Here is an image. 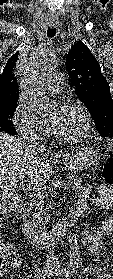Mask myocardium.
Listing matches in <instances>:
<instances>
[{"label": "myocardium", "mask_w": 113, "mask_h": 279, "mask_svg": "<svg viewBox=\"0 0 113 279\" xmlns=\"http://www.w3.org/2000/svg\"><path fill=\"white\" fill-rule=\"evenodd\" d=\"M67 106H74L77 109H79V111L82 113L83 118H84L83 131L80 134L75 135V136H63V135L59 134L49 123H47L49 126V129L52 131V133L54 134L56 139L63 141V142L72 143V142H78V141L84 140L85 138H87L90 135V133L93 129V120H92L91 114L89 113L88 109L84 106V104L78 100L67 99L61 104L60 108H64Z\"/></svg>", "instance_id": "f54148a6"}]
</instances>
